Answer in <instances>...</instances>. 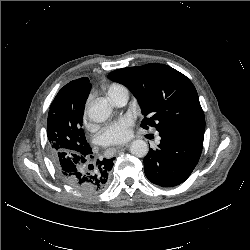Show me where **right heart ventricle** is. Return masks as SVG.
<instances>
[{"instance_id": "obj_1", "label": "right heart ventricle", "mask_w": 250, "mask_h": 250, "mask_svg": "<svg viewBox=\"0 0 250 250\" xmlns=\"http://www.w3.org/2000/svg\"><path fill=\"white\" fill-rule=\"evenodd\" d=\"M126 90V88L120 84L113 83L108 86L107 88V93L108 95L112 98L114 97L117 93Z\"/></svg>"}]
</instances>
